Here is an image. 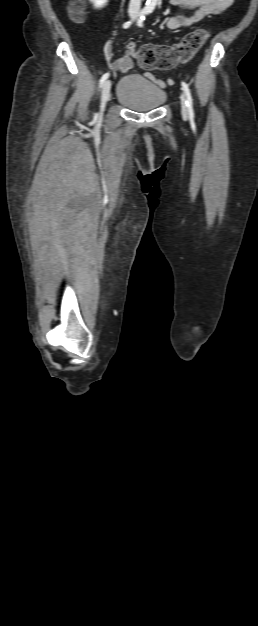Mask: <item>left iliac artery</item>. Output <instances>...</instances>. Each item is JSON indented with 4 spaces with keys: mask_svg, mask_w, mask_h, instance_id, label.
<instances>
[{
    "mask_svg": "<svg viewBox=\"0 0 258 626\" xmlns=\"http://www.w3.org/2000/svg\"><path fill=\"white\" fill-rule=\"evenodd\" d=\"M148 13H150V12H148ZM148 13H147V14H148ZM144 20H145V16H142V17L138 20V26L142 27V26H143V21H144ZM181 84H182V89H183V91H184V93H185V95H186V98H187V100H186V104H187V107H188V112H189V114H190L191 116H193V115H194V111H193V99H192V96H191V92H190L189 86H188L185 82H183V81L181 82Z\"/></svg>",
    "mask_w": 258,
    "mask_h": 626,
    "instance_id": "1",
    "label": "left iliac artery"
}]
</instances>
